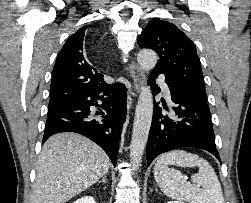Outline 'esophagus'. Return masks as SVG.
Here are the masks:
<instances>
[{
	"mask_svg": "<svg viewBox=\"0 0 251 203\" xmlns=\"http://www.w3.org/2000/svg\"><path fill=\"white\" fill-rule=\"evenodd\" d=\"M127 71L133 86V91H131L128 95L127 109L129 110L130 108L129 99L137 97V95L140 93V90L143 85L144 73L142 69L134 61H131L128 64Z\"/></svg>",
	"mask_w": 251,
	"mask_h": 203,
	"instance_id": "obj_1",
	"label": "esophagus"
}]
</instances>
